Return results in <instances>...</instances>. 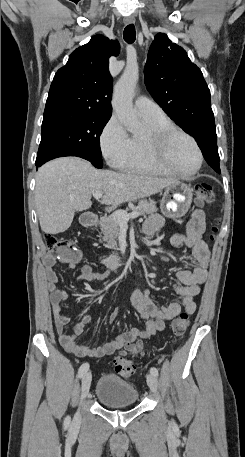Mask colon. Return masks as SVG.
Masks as SVG:
<instances>
[{
    "mask_svg": "<svg viewBox=\"0 0 245 457\" xmlns=\"http://www.w3.org/2000/svg\"><path fill=\"white\" fill-rule=\"evenodd\" d=\"M196 201L199 205L204 206L211 204L215 200V194L211 185L201 183L195 186ZM44 242L48 253L54 257L75 258L78 251L74 243L66 238L58 237L54 234H46ZM190 325L188 314L182 313L176 318L171 325L172 332L176 337L182 336ZM141 342L130 343L126 345L113 360L115 371L123 378H130L136 371V365L132 357L143 352Z\"/></svg>",
    "mask_w": 245,
    "mask_h": 457,
    "instance_id": "1",
    "label": "colon"
}]
</instances>
